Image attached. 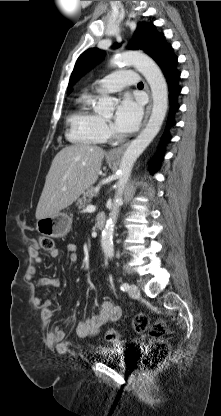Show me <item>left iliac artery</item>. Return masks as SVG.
I'll return each mask as SVG.
<instances>
[{"label":"left iliac artery","mask_w":221,"mask_h":416,"mask_svg":"<svg viewBox=\"0 0 221 416\" xmlns=\"http://www.w3.org/2000/svg\"><path fill=\"white\" fill-rule=\"evenodd\" d=\"M120 289L122 291H128L129 290V284L128 283H123L120 287Z\"/></svg>","instance_id":"44dca946"}]
</instances>
